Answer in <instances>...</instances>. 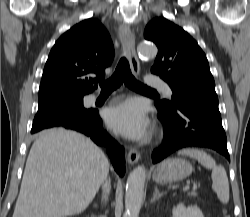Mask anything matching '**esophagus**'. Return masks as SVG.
Here are the masks:
<instances>
[{
	"instance_id": "1",
	"label": "esophagus",
	"mask_w": 250,
	"mask_h": 217,
	"mask_svg": "<svg viewBox=\"0 0 250 217\" xmlns=\"http://www.w3.org/2000/svg\"><path fill=\"white\" fill-rule=\"evenodd\" d=\"M119 37L124 54L130 62L132 72L135 75H138L140 71V65L135 50V38L128 24H122L120 26ZM127 159L131 165H134L140 160V153L137 150L131 148L128 152Z\"/></svg>"
}]
</instances>
